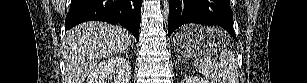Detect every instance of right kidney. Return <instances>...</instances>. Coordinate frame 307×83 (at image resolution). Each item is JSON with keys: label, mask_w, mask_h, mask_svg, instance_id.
<instances>
[{"label": "right kidney", "mask_w": 307, "mask_h": 83, "mask_svg": "<svg viewBox=\"0 0 307 83\" xmlns=\"http://www.w3.org/2000/svg\"><path fill=\"white\" fill-rule=\"evenodd\" d=\"M131 78V66L128 60L116 56L104 60L94 66L87 77V83H129Z\"/></svg>", "instance_id": "right-kidney-1"}]
</instances>
